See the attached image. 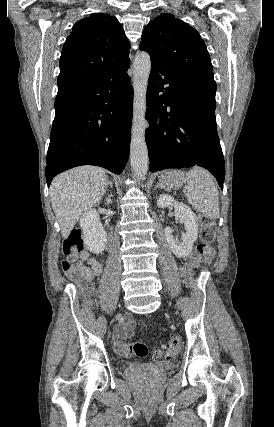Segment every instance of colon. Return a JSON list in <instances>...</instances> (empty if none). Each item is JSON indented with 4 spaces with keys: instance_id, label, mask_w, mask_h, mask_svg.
I'll return each instance as SVG.
<instances>
[{
    "instance_id": "5ec220e1",
    "label": "colon",
    "mask_w": 274,
    "mask_h": 427,
    "mask_svg": "<svg viewBox=\"0 0 274 427\" xmlns=\"http://www.w3.org/2000/svg\"><path fill=\"white\" fill-rule=\"evenodd\" d=\"M200 241L196 244L193 252L188 256L185 266V275L191 278L195 268L200 262H206L207 254H213L216 226L212 219L202 217L201 219ZM88 234L81 229L71 232L63 245L65 259L62 262L63 271L75 279L83 278L81 265L77 261V256L83 247L88 243ZM116 351L128 358H145L149 353V347L145 342L128 343L124 341L115 342ZM180 349V340L172 337L165 345L157 349L154 353L158 358H173Z\"/></svg>"
}]
</instances>
